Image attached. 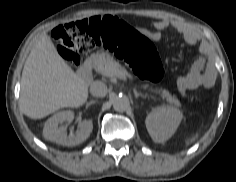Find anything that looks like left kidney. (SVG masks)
Here are the masks:
<instances>
[{"label": "left kidney", "instance_id": "obj_1", "mask_svg": "<svg viewBox=\"0 0 236 182\" xmlns=\"http://www.w3.org/2000/svg\"><path fill=\"white\" fill-rule=\"evenodd\" d=\"M182 117V112L174 107L154 108L145 120L147 131L154 142L164 143L175 133Z\"/></svg>", "mask_w": 236, "mask_h": 182}]
</instances>
